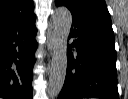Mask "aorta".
<instances>
[{
  "label": "aorta",
  "mask_w": 128,
  "mask_h": 99,
  "mask_svg": "<svg viewBox=\"0 0 128 99\" xmlns=\"http://www.w3.org/2000/svg\"><path fill=\"white\" fill-rule=\"evenodd\" d=\"M54 46L48 82V95L54 99L63 87L67 70V40L72 25V15L65 7H59L52 16Z\"/></svg>",
  "instance_id": "1"
}]
</instances>
